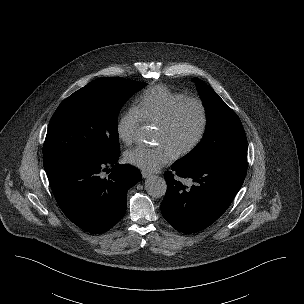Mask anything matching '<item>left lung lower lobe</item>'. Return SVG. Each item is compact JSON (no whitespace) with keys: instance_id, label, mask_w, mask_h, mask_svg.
Masks as SVG:
<instances>
[{"instance_id":"left-lung-lower-lobe-1","label":"left lung lower lobe","mask_w":304,"mask_h":304,"mask_svg":"<svg viewBox=\"0 0 304 304\" xmlns=\"http://www.w3.org/2000/svg\"><path fill=\"white\" fill-rule=\"evenodd\" d=\"M246 172L244 161L224 160L201 168L175 162L164 174L167 191L161 204L163 217L183 233L207 228L227 210ZM181 179L190 180L192 186H185Z\"/></svg>"}]
</instances>
